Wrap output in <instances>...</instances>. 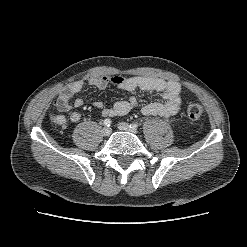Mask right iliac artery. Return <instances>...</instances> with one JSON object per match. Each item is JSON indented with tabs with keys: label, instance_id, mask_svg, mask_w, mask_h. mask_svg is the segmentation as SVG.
Returning <instances> with one entry per match:
<instances>
[{
	"label": "right iliac artery",
	"instance_id": "right-iliac-artery-1",
	"mask_svg": "<svg viewBox=\"0 0 247 247\" xmlns=\"http://www.w3.org/2000/svg\"><path fill=\"white\" fill-rule=\"evenodd\" d=\"M111 123L112 122H111V120L109 118L104 120V125L107 126V127H109L111 125Z\"/></svg>",
	"mask_w": 247,
	"mask_h": 247
}]
</instances>
